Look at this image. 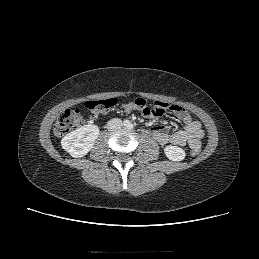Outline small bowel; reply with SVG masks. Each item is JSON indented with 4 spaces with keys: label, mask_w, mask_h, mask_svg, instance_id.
I'll return each instance as SVG.
<instances>
[{
    "label": "small bowel",
    "mask_w": 259,
    "mask_h": 259,
    "mask_svg": "<svg viewBox=\"0 0 259 259\" xmlns=\"http://www.w3.org/2000/svg\"><path fill=\"white\" fill-rule=\"evenodd\" d=\"M171 110L180 119L183 128L170 133L167 126L153 123L150 128L153 137L161 145H189L192 149L199 148L204 136L201 123L193 120L189 113L181 106L172 105Z\"/></svg>",
    "instance_id": "obj_1"
}]
</instances>
